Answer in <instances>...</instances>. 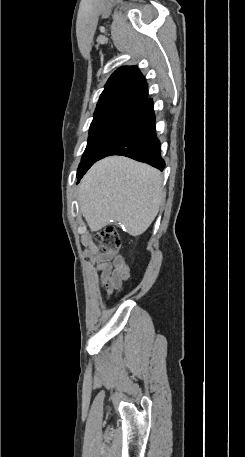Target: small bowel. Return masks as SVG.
Masks as SVG:
<instances>
[{"mask_svg":"<svg viewBox=\"0 0 245 457\" xmlns=\"http://www.w3.org/2000/svg\"><path fill=\"white\" fill-rule=\"evenodd\" d=\"M99 274V287L105 289L106 297L111 298L122 290L123 283L130 277V268L120 255L102 254L91 259Z\"/></svg>","mask_w":245,"mask_h":457,"instance_id":"small-bowel-1","label":"small bowel"}]
</instances>
